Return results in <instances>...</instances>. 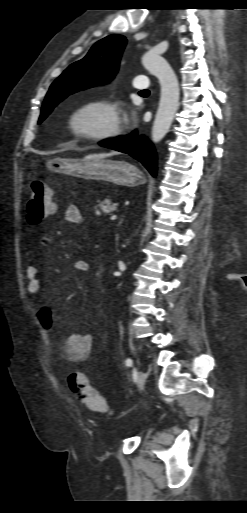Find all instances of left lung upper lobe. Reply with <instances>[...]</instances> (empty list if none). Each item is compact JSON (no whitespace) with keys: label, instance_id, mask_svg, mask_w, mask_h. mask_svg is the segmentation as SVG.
I'll return each instance as SVG.
<instances>
[{"label":"left lung upper lobe","instance_id":"left-lung-upper-lobe-1","mask_svg":"<svg viewBox=\"0 0 247 513\" xmlns=\"http://www.w3.org/2000/svg\"><path fill=\"white\" fill-rule=\"evenodd\" d=\"M126 43L122 35H109L96 42L83 59L70 65L50 86L38 123L68 95L112 80Z\"/></svg>","mask_w":247,"mask_h":513}]
</instances>
